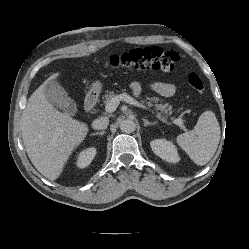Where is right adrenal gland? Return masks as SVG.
<instances>
[{
	"label": "right adrenal gland",
	"instance_id": "right-adrenal-gland-1",
	"mask_svg": "<svg viewBox=\"0 0 249 249\" xmlns=\"http://www.w3.org/2000/svg\"><path fill=\"white\" fill-rule=\"evenodd\" d=\"M105 133V130L101 131V132H96V133H92L91 135L92 136H95V135H103Z\"/></svg>",
	"mask_w": 249,
	"mask_h": 249
}]
</instances>
